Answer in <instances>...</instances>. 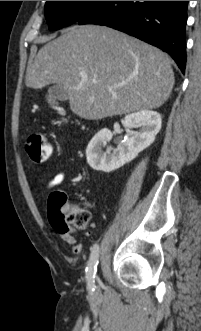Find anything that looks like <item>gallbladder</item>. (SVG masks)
Instances as JSON below:
<instances>
[{"label": "gallbladder", "instance_id": "1", "mask_svg": "<svg viewBox=\"0 0 201 331\" xmlns=\"http://www.w3.org/2000/svg\"><path fill=\"white\" fill-rule=\"evenodd\" d=\"M48 94L50 97L59 101H65L68 99L67 89L61 84L52 85L48 90Z\"/></svg>", "mask_w": 201, "mask_h": 331}]
</instances>
